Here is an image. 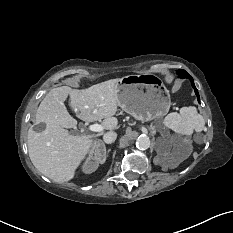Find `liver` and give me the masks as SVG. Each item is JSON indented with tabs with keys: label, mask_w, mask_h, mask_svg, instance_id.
Segmentation results:
<instances>
[{
	"label": "liver",
	"mask_w": 233,
	"mask_h": 233,
	"mask_svg": "<svg viewBox=\"0 0 233 233\" xmlns=\"http://www.w3.org/2000/svg\"><path fill=\"white\" fill-rule=\"evenodd\" d=\"M119 79L95 84L87 89L76 90L69 86L51 89L41 101L36 114V124L45 123L41 132L28 130V152L35 168L49 179L63 183L74 178L75 171L93 146L96 135H71L67 129L76 128L64 101L77 117L85 122L103 121V129L117 127V85Z\"/></svg>",
	"instance_id": "liver-1"
}]
</instances>
